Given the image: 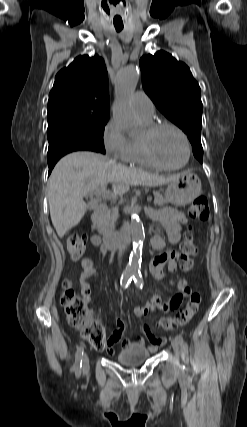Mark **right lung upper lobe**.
<instances>
[{"label":"right lung upper lobe","mask_w":247,"mask_h":427,"mask_svg":"<svg viewBox=\"0 0 247 427\" xmlns=\"http://www.w3.org/2000/svg\"><path fill=\"white\" fill-rule=\"evenodd\" d=\"M66 108L109 110L108 73L98 55L79 56L56 75L48 114Z\"/></svg>","instance_id":"1"}]
</instances>
